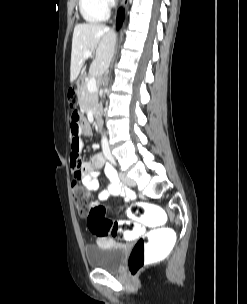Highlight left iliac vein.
I'll use <instances>...</instances> for the list:
<instances>
[{
    "mask_svg": "<svg viewBox=\"0 0 247 304\" xmlns=\"http://www.w3.org/2000/svg\"><path fill=\"white\" fill-rule=\"evenodd\" d=\"M119 177L121 181L127 186L134 187L136 185L135 180L128 177L125 173L120 172Z\"/></svg>",
    "mask_w": 247,
    "mask_h": 304,
    "instance_id": "left-iliac-vein-1",
    "label": "left iliac vein"
}]
</instances>
